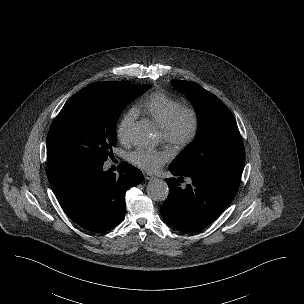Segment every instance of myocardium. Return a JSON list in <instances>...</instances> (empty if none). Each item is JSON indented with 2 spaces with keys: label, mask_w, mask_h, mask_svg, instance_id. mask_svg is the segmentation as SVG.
<instances>
[{
  "label": "myocardium",
  "mask_w": 304,
  "mask_h": 304,
  "mask_svg": "<svg viewBox=\"0 0 304 304\" xmlns=\"http://www.w3.org/2000/svg\"><path fill=\"white\" fill-rule=\"evenodd\" d=\"M200 126L198 112L191 106L180 107L162 128L163 140L176 149H182L196 138Z\"/></svg>",
  "instance_id": "f54148a6"
}]
</instances>
